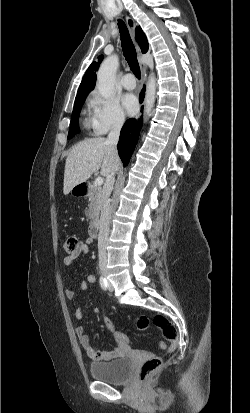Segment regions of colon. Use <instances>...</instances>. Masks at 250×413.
Wrapping results in <instances>:
<instances>
[{"mask_svg":"<svg viewBox=\"0 0 250 413\" xmlns=\"http://www.w3.org/2000/svg\"><path fill=\"white\" fill-rule=\"evenodd\" d=\"M63 248L67 254H75L79 248L78 239L73 236L68 237L64 242ZM104 319V327L107 330H110V334L113 335L117 341L123 342V345H127L128 347L130 346V343H133L132 336H129L120 329H116V323L113 322L111 315H106ZM152 323L161 330L163 338L170 343L167 352L174 351L178 344V330L176 326L165 316L160 314L155 315L152 318ZM135 324L139 330H145L148 328L150 320L147 316H139L137 317ZM160 347L166 349L165 342H160ZM162 363V356H152L145 360L139 371V379L142 382L147 381L157 370H159Z\"/></svg>","mask_w":250,"mask_h":413,"instance_id":"obj_1","label":"colon"}]
</instances>
